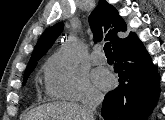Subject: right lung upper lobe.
Segmentation results:
<instances>
[{
    "instance_id": "obj_1",
    "label": "right lung upper lobe",
    "mask_w": 165,
    "mask_h": 120,
    "mask_svg": "<svg viewBox=\"0 0 165 120\" xmlns=\"http://www.w3.org/2000/svg\"><path fill=\"white\" fill-rule=\"evenodd\" d=\"M89 24L94 35V40L100 41L105 37V40L111 41L113 50L136 37L135 33L132 32L128 37L125 36L127 31L126 23L119 16L118 11L105 0H100L96 9L91 13ZM63 28L64 24L60 22L47 29L41 35L27 68L37 62L48 51Z\"/></svg>"
}]
</instances>
